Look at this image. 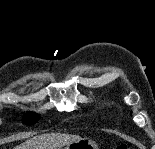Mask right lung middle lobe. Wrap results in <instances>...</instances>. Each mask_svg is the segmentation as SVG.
<instances>
[{"label": "right lung middle lobe", "mask_w": 155, "mask_h": 149, "mask_svg": "<svg viewBox=\"0 0 155 149\" xmlns=\"http://www.w3.org/2000/svg\"><path fill=\"white\" fill-rule=\"evenodd\" d=\"M39 118H40V116L38 114H35V113L27 114L24 117V123L26 125L35 124Z\"/></svg>", "instance_id": "1"}]
</instances>
